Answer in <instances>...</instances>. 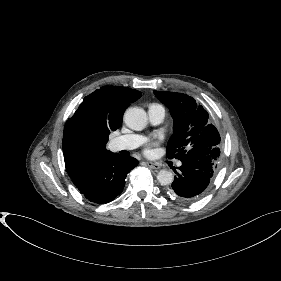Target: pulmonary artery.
<instances>
[{"label":"pulmonary artery","mask_w":281,"mask_h":281,"mask_svg":"<svg viewBox=\"0 0 281 281\" xmlns=\"http://www.w3.org/2000/svg\"><path fill=\"white\" fill-rule=\"evenodd\" d=\"M149 121L152 125H159L165 118V110L160 105L152 104L148 108ZM145 138L136 134L122 135L112 142L115 151L132 150L140 146Z\"/></svg>","instance_id":"obj_1"}]
</instances>
